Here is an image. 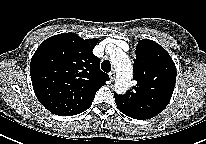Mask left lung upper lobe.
Returning <instances> with one entry per match:
<instances>
[{
    "instance_id": "5c2ea615",
    "label": "left lung upper lobe",
    "mask_w": 206,
    "mask_h": 144,
    "mask_svg": "<svg viewBox=\"0 0 206 144\" xmlns=\"http://www.w3.org/2000/svg\"><path fill=\"white\" fill-rule=\"evenodd\" d=\"M135 53L133 77L137 84L125 95H115L131 118H147V110L160 113L169 103L177 72L167 51L152 40H140Z\"/></svg>"
}]
</instances>
